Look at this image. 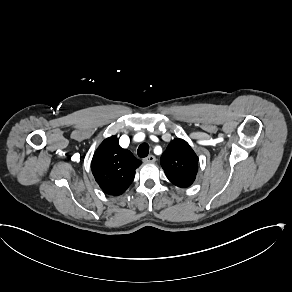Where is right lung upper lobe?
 I'll return each mask as SVG.
<instances>
[{
  "mask_svg": "<svg viewBox=\"0 0 292 292\" xmlns=\"http://www.w3.org/2000/svg\"><path fill=\"white\" fill-rule=\"evenodd\" d=\"M142 162L119 146L116 136L105 139L94 153L92 173L100 188L109 195H120L132 183Z\"/></svg>",
  "mask_w": 292,
  "mask_h": 292,
  "instance_id": "obj_1",
  "label": "right lung upper lobe"
}]
</instances>
